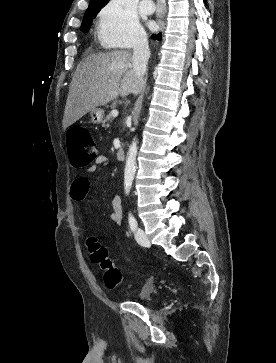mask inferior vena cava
Wrapping results in <instances>:
<instances>
[{"label": "inferior vena cava", "instance_id": "inferior-vena-cava-1", "mask_svg": "<svg viewBox=\"0 0 276 363\" xmlns=\"http://www.w3.org/2000/svg\"><path fill=\"white\" fill-rule=\"evenodd\" d=\"M149 58L148 38L146 35H142L133 45L132 65L138 78H142L146 73Z\"/></svg>", "mask_w": 276, "mask_h": 363}]
</instances>
